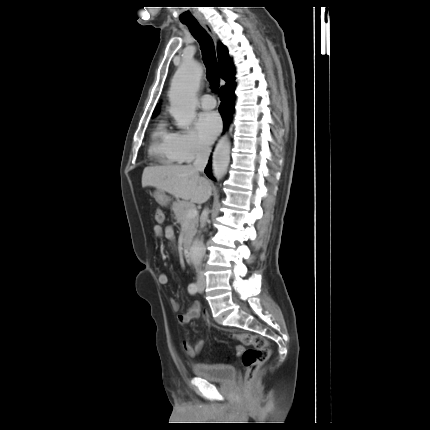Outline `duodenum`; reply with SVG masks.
<instances>
[{"label":"duodenum","instance_id":"obj_1","mask_svg":"<svg viewBox=\"0 0 430 430\" xmlns=\"http://www.w3.org/2000/svg\"><path fill=\"white\" fill-rule=\"evenodd\" d=\"M183 256L187 263L192 262L191 246L189 242H185L183 246Z\"/></svg>","mask_w":430,"mask_h":430}]
</instances>
